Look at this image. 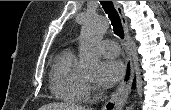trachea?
<instances>
[{
	"instance_id": "3493384b",
	"label": "trachea",
	"mask_w": 171,
	"mask_h": 110,
	"mask_svg": "<svg viewBox=\"0 0 171 110\" xmlns=\"http://www.w3.org/2000/svg\"><path fill=\"white\" fill-rule=\"evenodd\" d=\"M104 11L108 14V17L111 21L113 26V31L116 36L120 37L121 39L124 38V31L121 23V19L117 10L115 9L112 1H100Z\"/></svg>"
}]
</instances>
